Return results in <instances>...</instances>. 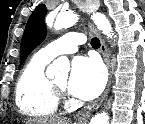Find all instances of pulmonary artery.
I'll return each instance as SVG.
<instances>
[{
    "label": "pulmonary artery",
    "mask_w": 145,
    "mask_h": 124,
    "mask_svg": "<svg viewBox=\"0 0 145 124\" xmlns=\"http://www.w3.org/2000/svg\"><path fill=\"white\" fill-rule=\"evenodd\" d=\"M84 38L80 33L71 32L42 47L38 54L47 60H52L61 54H71L78 51Z\"/></svg>",
    "instance_id": "e3ab8cb5"
}]
</instances>
